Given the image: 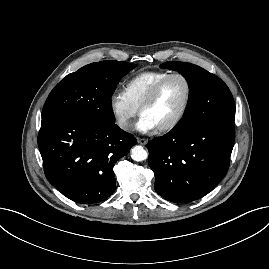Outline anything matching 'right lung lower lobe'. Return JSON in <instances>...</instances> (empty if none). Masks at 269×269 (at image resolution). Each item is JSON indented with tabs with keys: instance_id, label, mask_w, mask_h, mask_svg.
Instances as JSON below:
<instances>
[{
	"instance_id": "1",
	"label": "right lung lower lobe",
	"mask_w": 269,
	"mask_h": 269,
	"mask_svg": "<svg viewBox=\"0 0 269 269\" xmlns=\"http://www.w3.org/2000/svg\"><path fill=\"white\" fill-rule=\"evenodd\" d=\"M136 142L115 123L98 125L69 116L42 119L38 134L46 178L79 204L99 203L113 194V166Z\"/></svg>"
}]
</instances>
